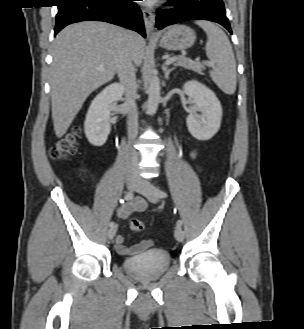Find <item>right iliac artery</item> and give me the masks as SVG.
<instances>
[{"label":"right iliac artery","mask_w":304,"mask_h":329,"mask_svg":"<svg viewBox=\"0 0 304 329\" xmlns=\"http://www.w3.org/2000/svg\"><path fill=\"white\" fill-rule=\"evenodd\" d=\"M133 198V192L132 191H130V192H128V193H126V195H125V200H131ZM115 225V223L114 222H110L109 223V226L110 227H113Z\"/></svg>","instance_id":"82829eb1"}]
</instances>
